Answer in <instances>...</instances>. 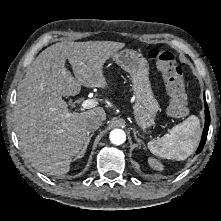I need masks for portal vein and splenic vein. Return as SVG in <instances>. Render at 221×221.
Returning a JSON list of instances; mask_svg holds the SVG:
<instances>
[{
  "mask_svg": "<svg viewBox=\"0 0 221 221\" xmlns=\"http://www.w3.org/2000/svg\"><path fill=\"white\" fill-rule=\"evenodd\" d=\"M98 102L94 99H87L84 100L81 104V109H89V108H93L95 106H97Z\"/></svg>",
  "mask_w": 221,
  "mask_h": 221,
  "instance_id": "1",
  "label": "portal vein and splenic vein"
}]
</instances>
